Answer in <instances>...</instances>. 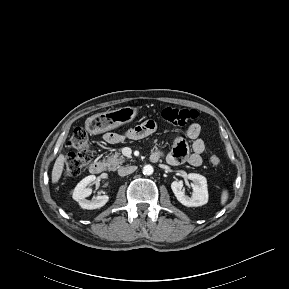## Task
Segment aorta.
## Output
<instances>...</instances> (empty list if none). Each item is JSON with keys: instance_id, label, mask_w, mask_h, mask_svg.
<instances>
[{"instance_id": "762f6f07", "label": "aorta", "mask_w": 289, "mask_h": 289, "mask_svg": "<svg viewBox=\"0 0 289 289\" xmlns=\"http://www.w3.org/2000/svg\"><path fill=\"white\" fill-rule=\"evenodd\" d=\"M154 172V169L151 165H145L143 167V174L144 175H152Z\"/></svg>"}]
</instances>
